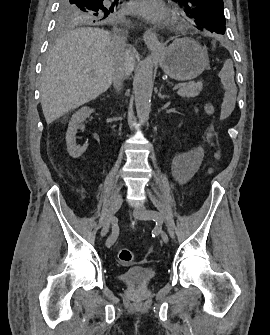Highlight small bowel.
I'll use <instances>...</instances> for the list:
<instances>
[{
  "mask_svg": "<svg viewBox=\"0 0 270 335\" xmlns=\"http://www.w3.org/2000/svg\"><path fill=\"white\" fill-rule=\"evenodd\" d=\"M204 157V150L198 146L188 154L179 157L173 166V174L180 183L185 182L199 168Z\"/></svg>",
  "mask_w": 270,
  "mask_h": 335,
  "instance_id": "1",
  "label": "small bowel"
}]
</instances>
